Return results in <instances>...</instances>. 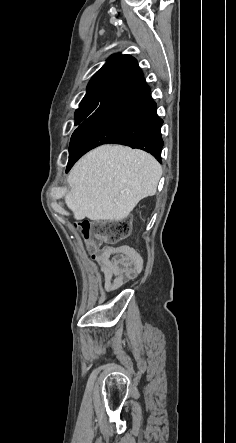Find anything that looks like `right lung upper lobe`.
<instances>
[{
  "label": "right lung upper lobe",
  "mask_w": 236,
  "mask_h": 443,
  "mask_svg": "<svg viewBox=\"0 0 236 443\" xmlns=\"http://www.w3.org/2000/svg\"><path fill=\"white\" fill-rule=\"evenodd\" d=\"M143 77L137 60L130 55L114 54L91 78L81 103L96 98H108L123 91Z\"/></svg>",
  "instance_id": "right-lung-upper-lobe-1"
}]
</instances>
